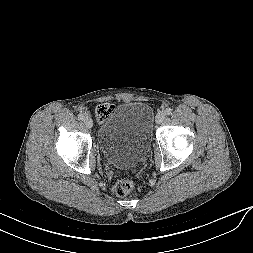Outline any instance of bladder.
<instances>
[{"label":"bladder","instance_id":"1","mask_svg":"<svg viewBox=\"0 0 253 253\" xmlns=\"http://www.w3.org/2000/svg\"><path fill=\"white\" fill-rule=\"evenodd\" d=\"M153 123L154 112L149 104L117 105L98 130V144L105 160L119 168L141 162L150 146Z\"/></svg>","mask_w":253,"mask_h":253}]
</instances>
